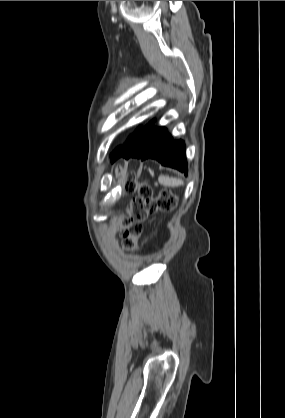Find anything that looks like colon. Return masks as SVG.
I'll return each mask as SVG.
<instances>
[{
	"instance_id": "5ec220e1",
	"label": "colon",
	"mask_w": 285,
	"mask_h": 418,
	"mask_svg": "<svg viewBox=\"0 0 285 418\" xmlns=\"http://www.w3.org/2000/svg\"><path fill=\"white\" fill-rule=\"evenodd\" d=\"M133 190L132 182H127L125 184L126 193L129 194ZM175 203L176 197L170 191H163L158 196H154L149 186L141 187L139 200L133 203L119 222L123 246L132 251L137 250V239L142 231L141 221L158 210L172 209Z\"/></svg>"
}]
</instances>
